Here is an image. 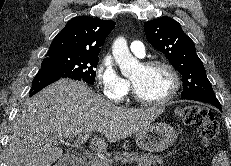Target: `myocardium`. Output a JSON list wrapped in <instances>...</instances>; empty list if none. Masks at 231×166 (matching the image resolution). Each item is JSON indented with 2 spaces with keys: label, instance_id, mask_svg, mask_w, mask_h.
Returning a JSON list of instances; mask_svg holds the SVG:
<instances>
[{
  "label": "myocardium",
  "instance_id": "1",
  "mask_svg": "<svg viewBox=\"0 0 231 166\" xmlns=\"http://www.w3.org/2000/svg\"><path fill=\"white\" fill-rule=\"evenodd\" d=\"M142 66L145 68H152V67H156V66H160V67L165 68L171 76L172 86H171L169 93L164 98H161L158 100H147V99L142 98L139 95V93L136 90L134 83L131 81L132 92H133L134 98L139 103L146 105V106H163V105L168 104L177 95V93L179 91L180 76H179L177 69L169 61H167L165 59H151L148 61H144V62H142Z\"/></svg>",
  "mask_w": 231,
  "mask_h": 166
}]
</instances>
